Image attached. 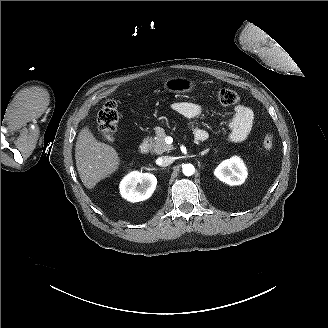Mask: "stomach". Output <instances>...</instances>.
Returning <instances> with one entry per match:
<instances>
[{"instance_id":"obj_1","label":"stomach","mask_w":328,"mask_h":328,"mask_svg":"<svg viewBox=\"0 0 328 328\" xmlns=\"http://www.w3.org/2000/svg\"><path fill=\"white\" fill-rule=\"evenodd\" d=\"M196 82L186 77H172L164 83V89L173 93L192 92Z\"/></svg>"}]
</instances>
